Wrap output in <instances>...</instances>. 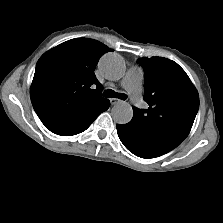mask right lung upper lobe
Instances as JSON below:
<instances>
[{
  "label": "right lung upper lobe",
  "mask_w": 223,
  "mask_h": 223,
  "mask_svg": "<svg viewBox=\"0 0 223 223\" xmlns=\"http://www.w3.org/2000/svg\"><path fill=\"white\" fill-rule=\"evenodd\" d=\"M111 51L87 38L66 41L39 59L31 85V101L42 123L53 133L75 135L86 130L109 100L94 70L99 58Z\"/></svg>",
  "instance_id": "1"
}]
</instances>
